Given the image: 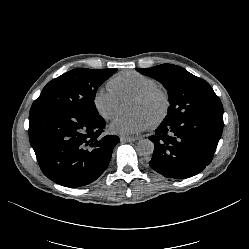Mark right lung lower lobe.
I'll use <instances>...</instances> for the list:
<instances>
[{
	"label": "right lung lower lobe",
	"mask_w": 249,
	"mask_h": 249,
	"mask_svg": "<svg viewBox=\"0 0 249 249\" xmlns=\"http://www.w3.org/2000/svg\"><path fill=\"white\" fill-rule=\"evenodd\" d=\"M105 125L100 115L65 109L30 113L29 139L42 172L66 187L96 180L120 141L116 135H101Z\"/></svg>",
	"instance_id": "obj_1"
}]
</instances>
